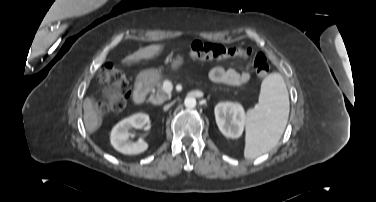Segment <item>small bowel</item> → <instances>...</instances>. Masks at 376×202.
Listing matches in <instances>:
<instances>
[{
    "mask_svg": "<svg viewBox=\"0 0 376 202\" xmlns=\"http://www.w3.org/2000/svg\"><path fill=\"white\" fill-rule=\"evenodd\" d=\"M209 78L216 83H223L231 86H238L250 79L248 72H237L234 69H225L221 66H214L209 70Z\"/></svg>",
    "mask_w": 376,
    "mask_h": 202,
    "instance_id": "obj_1",
    "label": "small bowel"
}]
</instances>
